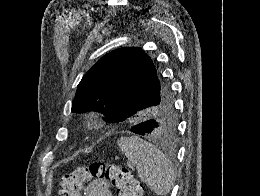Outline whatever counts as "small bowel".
<instances>
[{
	"label": "small bowel",
	"instance_id": "small-bowel-1",
	"mask_svg": "<svg viewBox=\"0 0 260 196\" xmlns=\"http://www.w3.org/2000/svg\"><path fill=\"white\" fill-rule=\"evenodd\" d=\"M85 196H112L108 180L103 178L92 180L85 189Z\"/></svg>",
	"mask_w": 260,
	"mask_h": 196
}]
</instances>
